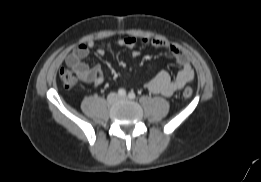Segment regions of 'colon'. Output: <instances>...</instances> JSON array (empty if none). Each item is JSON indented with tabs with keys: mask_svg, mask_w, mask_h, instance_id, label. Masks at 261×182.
<instances>
[{
	"mask_svg": "<svg viewBox=\"0 0 261 182\" xmlns=\"http://www.w3.org/2000/svg\"><path fill=\"white\" fill-rule=\"evenodd\" d=\"M59 76L63 86L66 89H73L78 83L77 75L71 70L62 69L60 71ZM192 93H193L192 89L190 87H186L183 90L182 94L184 98H190L192 96Z\"/></svg>",
	"mask_w": 261,
	"mask_h": 182,
	"instance_id": "5ec220e1",
	"label": "colon"
}]
</instances>
